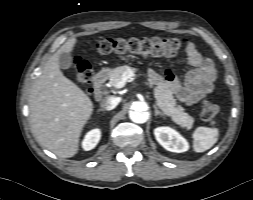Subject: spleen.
I'll list each match as a JSON object with an SVG mask.
<instances>
[{
	"instance_id": "obj_1",
	"label": "spleen",
	"mask_w": 253,
	"mask_h": 200,
	"mask_svg": "<svg viewBox=\"0 0 253 200\" xmlns=\"http://www.w3.org/2000/svg\"><path fill=\"white\" fill-rule=\"evenodd\" d=\"M219 131L216 128L198 127L193 133V148L195 152L210 149L218 140Z\"/></svg>"
}]
</instances>
